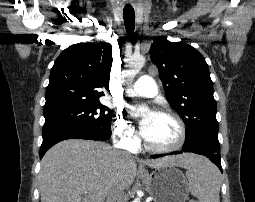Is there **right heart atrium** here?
I'll use <instances>...</instances> for the list:
<instances>
[{
  "instance_id": "right-heart-atrium-1",
  "label": "right heart atrium",
  "mask_w": 255,
  "mask_h": 202,
  "mask_svg": "<svg viewBox=\"0 0 255 202\" xmlns=\"http://www.w3.org/2000/svg\"><path fill=\"white\" fill-rule=\"evenodd\" d=\"M113 135L126 149H134L138 144L137 132L131 121L121 112H117L113 123Z\"/></svg>"
}]
</instances>
